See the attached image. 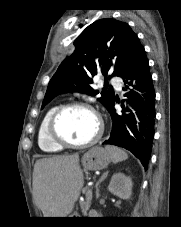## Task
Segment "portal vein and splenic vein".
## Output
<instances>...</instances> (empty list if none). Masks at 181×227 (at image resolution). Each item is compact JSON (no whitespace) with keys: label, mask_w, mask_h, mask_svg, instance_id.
Instances as JSON below:
<instances>
[{"label":"portal vein and splenic vein","mask_w":181,"mask_h":227,"mask_svg":"<svg viewBox=\"0 0 181 227\" xmlns=\"http://www.w3.org/2000/svg\"><path fill=\"white\" fill-rule=\"evenodd\" d=\"M86 194H87V196L89 197V199L91 201L92 200V189L91 188L88 189Z\"/></svg>","instance_id":"obj_1"}]
</instances>
